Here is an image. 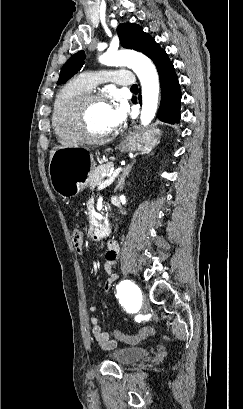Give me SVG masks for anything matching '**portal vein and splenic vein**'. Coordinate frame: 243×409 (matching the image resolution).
<instances>
[{"label":"portal vein and splenic vein","mask_w":243,"mask_h":409,"mask_svg":"<svg viewBox=\"0 0 243 409\" xmlns=\"http://www.w3.org/2000/svg\"><path fill=\"white\" fill-rule=\"evenodd\" d=\"M121 171H122V168H117L114 172L109 174L108 178L98 186V190H102L106 188L107 186L111 185Z\"/></svg>","instance_id":"obj_1"}]
</instances>
